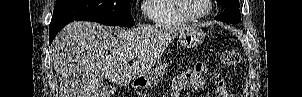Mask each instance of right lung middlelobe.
<instances>
[{"label": "right lung middle lobe", "instance_id": "dd1d6c3e", "mask_svg": "<svg viewBox=\"0 0 302 97\" xmlns=\"http://www.w3.org/2000/svg\"><path fill=\"white\" fill-rule=\"evenodd\" d=\"M133 0H58L50 25L71 19H90L130 27L135 24L130 13Z\"/></svg>", "mask_w": 302, "mask_h": 97}]
</instances>
